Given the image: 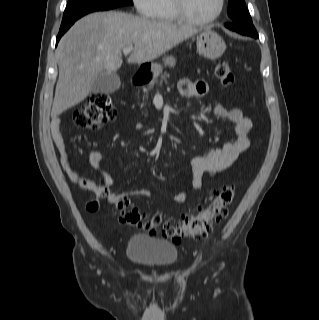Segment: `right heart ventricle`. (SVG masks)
<instances>
[{"label":"right heart ventricle","instance_id":"right-heart-ventricle-1","mask_svg":"<svg viewBox=\"0 0 319 320\" xmlns=\"http://www.w3.org/2000/svg\"><path fill=\"white\" fill-rule=\"evenodd\" d=\"M158 21L164 23H176L180 21L173 10L172 0H161L160 6L155 17Z\"/></svg>","mask_w":319,"mask_h":320}]
</instances>
